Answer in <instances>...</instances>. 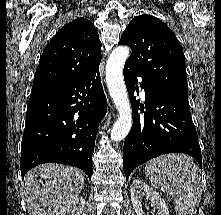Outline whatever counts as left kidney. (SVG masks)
<instances>
[{"mask_svg":"<svg viewBox=\"0 0 221 215\" xmlns=\"http://www.w3.org/2000/svg\"><path fill=\"white\" fill-rule=\"evenodd\" d=\"M130 192L131 202L136 215H143L141 204L143 197L150 199L151 207L158 211V215H169L168 207L160 194L142 180H134L131 184Z\"/></svg>","mask_w":221,"mask_h":215,"instance_id":"1","label":"left kidney"}]
</instances>
